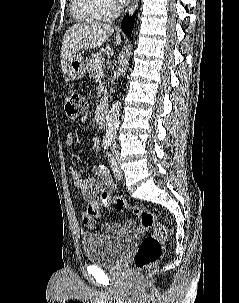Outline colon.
<instances>
[{"label": "colon", "mask_w": 239, "mask_h": 303, "mask_svg": "<svg viewBox=\"0 0 239 303\" xmlns=\"http://www.w3.org/2000/svg\"><path fill=\"white\" fill-rule=\"evenodd\" d=\"M64 105L67 118L77 120L87 112V101L85 97L75 91L68 90L64 97ZM99 204L103 207L113 206L117 210H126L137 216L145 229H153L152 235L146 236L139 245L135 256V267L138 271L146 269L157 263L162 256V245L168 236L166 227L158 220L157 216L142 207L132 206L121 196H114L104 192L99 198ZM87 215L95 218L99 215L98 207L91 203L87 208Z\"/></svg>", "instance_id": "5ec220e1"}]
</instances>
